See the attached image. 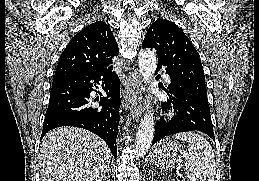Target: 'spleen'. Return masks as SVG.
I'll return each instance as SVG.
<instances>
[{
  "label": "spleen",
  "instance_id": "obj_1",
  "mask_svg": "<svg viewBox=\"0 0 259 181\" xmlns=\"http://www.w3.org/2000/svg\"><path fill=\"white\" fill-rule=\"evenodd\" d=\"M189 143L184 151V171L190 181H216L215 156L212 146L202 136L194 132H182L173 136Z\"/></svg>",
  "mask_w": 259,
  "mask_h": 181
}]
</instances>
